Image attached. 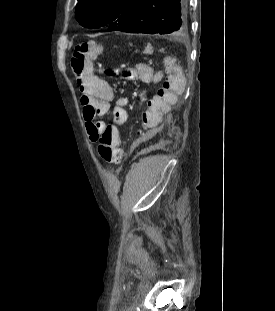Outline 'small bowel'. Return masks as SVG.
<instances>
[{"label":"small bowel","instance_id":"c3829d8e","mask_svg":"<svg viewBox=\"0 0 275 311\" xmlns=\"http://www.w3.org/2000/svg\"><path fill=\"white\" fill-rule=\"evenodd\" d=\"M179 56H164L161 69L156 73L153 65H146V60H133L130 73L131 79L150 80V87H158V92H151L147 105L143 106L140 113L138 127L141 132H134L136 143H148L149 137L155 126L159 125L166 112H173L178 107L179 98H185L186 87L184 70L181 69ZM164 71V73H163ZM77 85L83 92L81 104L84 107L83 117L89 138L103 131L108 125L103 121H95L97 116H104L109 111L112 113V126L122 128L127 120L126 106L128 99L125 97L114 98L110 84L101 77L91 72L76 78ZM146 101L145 97L141 98Z\"/></svg>","mask_w":275,"mask_h":311}]
</instances>
